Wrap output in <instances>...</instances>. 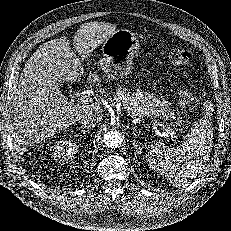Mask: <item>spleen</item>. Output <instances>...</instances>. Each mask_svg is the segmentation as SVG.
Wrapping results in <instances>:
<instances>
[{
    "mask_svg": "<svg viewBox=\"0 0 231 231\" xmlns=\"http://www.w3.org/2000/svg\"><path fill=\"white\" fill-rule=\"evenodd\" d=\"M212 139L211 124L209 120L202 119L195 122L180 145L168 148L159 142L151 144L146 161L173 185H185L200 173L210 155Z\"/></svg>",
    "mask_w": 231,
    "mask_h": 231,
    "instance_id": "obj_1",
    "label": "spleen"
}]
</instances>
